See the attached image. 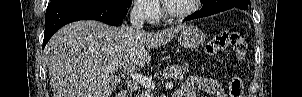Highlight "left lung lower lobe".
Returning <instances> with one entry per match:
<instances>
[{"label": "left lung lower lobe", "mask_w": 302, "mask_h": 97, "mask_svg": "<svg viewBox=\"0 0 302 97\" xmlns=\"http://www.w3.org/2000/svg\"><path fill=\"white\" fill-rule=\"evenodd\" d=\"M248 7H241L240 9H247ZM221 12L217 9H212V8H206V7H202V9L199 12H196L188 17H186L184 20L188 21V20H192V19H196V18H201V17H205V16H209L215 13Z\"/></svg>", "instance_id": "0a47b994"}]
</instances>
